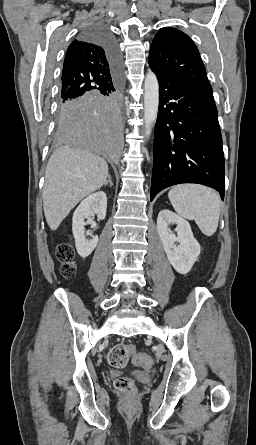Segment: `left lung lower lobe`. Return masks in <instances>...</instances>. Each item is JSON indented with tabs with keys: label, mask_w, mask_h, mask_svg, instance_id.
<instances>
[{
	"label": "left lung lower lobe",
	"mask_w": 256,
	"mask_h": 445,
	"mask_svg": "<svg viewBox=\"0 0 256 445\" xmlns=\"http://www.w3.org/2000/svg\"><path fill=\"white\" fill-rule=\"evenodd\" d=\"M156 75L160 102L154 131L150 200L159 191L180 183L212 187L223 199L224 154L212 92L176 76Z\"/></svg>",
	"instance_id": "0a47b994"
}]
</instances>
